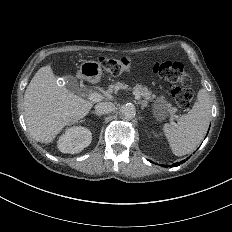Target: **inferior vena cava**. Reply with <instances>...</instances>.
Instances as JSON below:
<instances>
[{
    "instance_id": "602c4592",
    "label": "inferior vena cava",
    "mask_w": 232,
    "mask_h": 232,
    "mask_svg": "<svg viewBox=\"0 0 232 232\" xmlns=\"http://www.w3.org/2000/svg\"><path fill=\"white\" fill-rule=\"evenodd\" d=\"M95 110L100 114H108L115 110V105L112 102H101L95 106Z\"/></svg>"
}]
</instances>
